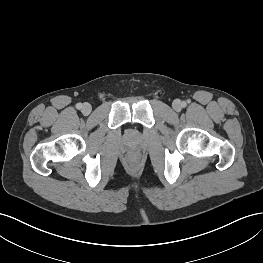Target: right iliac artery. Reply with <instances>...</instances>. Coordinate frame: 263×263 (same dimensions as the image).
I'll list each match as a JSON object with an SVG mask.
<instances>
[{"instance_id":"obj_1","label":"right iliac artery","mask_w":263,"mask_h":263,"mask_svg":"<svg viewBox=\"0 0 263 263\" xmlns=\"http://www.w3.org/2000/svg\"><path fill=\"white\" fill-rule=\"evenodd\" d=\"M76 108L80 110V109L82 108V104H81V103H78V104L76 105Z\"/></svg>"}]
</instances>
